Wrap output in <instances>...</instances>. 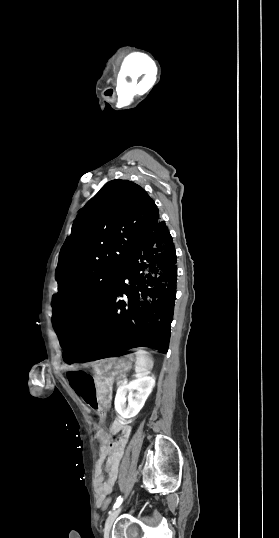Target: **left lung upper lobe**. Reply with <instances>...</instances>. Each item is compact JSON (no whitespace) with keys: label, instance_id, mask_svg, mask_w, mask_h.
I'll list each match as a JSON object with an SVG mask.
<instances>
[{"label":"left lung upper lobe","instance_id":"1","mask_svg":"<svg viewBox=\"0 0 279 538\" xmlns=\"http://www.w3.org/2000/svg\"><path fill=\"white\" fill-rule=\"evenodd\" d=\"M158 212L147 192L127 180L108 182L80 211L59 253L52 303L57 335L91 329Z\"/></svg>","mask_w":279,"mask_h":538}]
</instances>
